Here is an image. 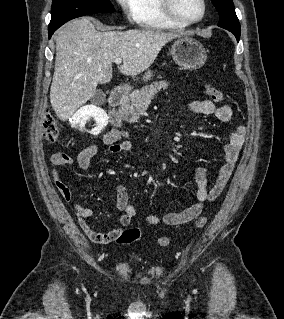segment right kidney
Returning a JSON list of instances; mask_svg holds the SVG:
<instances>
[{
	"label": "right kidney",
	"instance_id": "obj_1",
	"mask_svg": "<svg viewBox=\"0 0 284 319\" xmlns=\"http://www.w3.org/2000/svg\"><path fill=\"white\" fill-rule=\"evenodd\" d=\"M91 117L94 118L97 123L95 130L98 133L101 132L108 123V117L104 110L92 105L80 108L73 116L71 123L73 125L77 124L80 128H84L86 121Z\"/></svg>",
	"mask_w": 284,
	"mask_h": 319
}]
</instances>
